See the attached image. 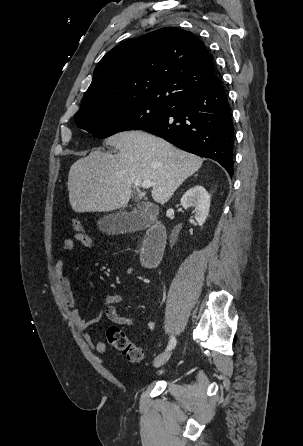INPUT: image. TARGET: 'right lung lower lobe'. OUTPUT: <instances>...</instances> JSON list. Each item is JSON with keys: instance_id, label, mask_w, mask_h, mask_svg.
<instances>
[{"instance_id": "obj_1", "label": "right lung lower lobe", "mask_w": 303, "mask_h": 446, "mask_svg": "<svg viewBox=\"0 0 303 446\" xmlns=\"http://www.w3.org/2000/svg\"><path fill=\"white\" fill-rule=\"evenodd\" d=\"M142 130L211 158L233 175L234 128L228 94L220 81L187 94Z\"/></svg>"}]
</instances>
